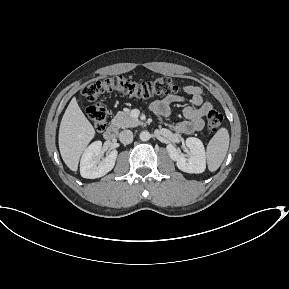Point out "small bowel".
<instances>
[{"label":"small bowel","mask_w":289,"mask_h":289,"mask_svg":"<svg viewBox=\"0 0 289 289\" xmlns=\"http://www.w3.org/2000/svg\"><path fill=\"white\" fill-rule=\"evenodd\" d=\"M184 92L190 96L191 105L183 110L185 120L172 126L178 133L192 134L200 131L204 126V117L211 111L212 105L204 101L201 88L193 85L184 86ZM184 98L179 95H167L160 100L154 101L150 109L159 116L166 117L170 114L171 106L176 103L184 102Z\"/></svg>","instance_id":"1"}]
</instances>
